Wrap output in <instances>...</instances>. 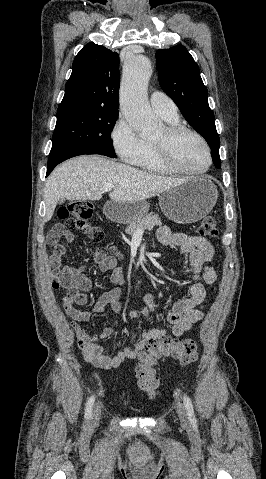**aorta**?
I'll return each instance as SVG.
<instances>
[{
    "label": "aorta",
    "mask_w": 266,
    "mask_h": 479,
    "mask_svg": "<svg viewBox=\"0 0 266 479\" xmlns=\"http://www.w3.org/2000/svg\"><path fill=\"white\" fill-rule=\"evenodd\" d=\"M152 67L149 59L138 55L124 65L120 87L121 111L129 125L140 134H151L160 126V119L150 108L146 89Z\"/></svg>",
    "instance_id": "obj_1"
}]
</instances>
